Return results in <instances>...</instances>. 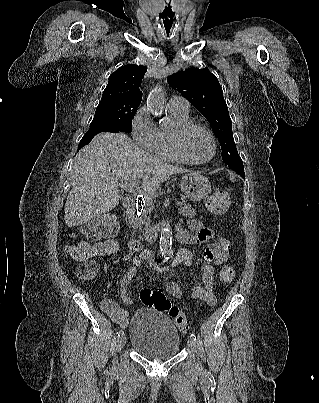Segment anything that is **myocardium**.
<instances>
[{"label": "myocardium", "instance_id": "obj_1", "mask_svg": "<svg viewBox=\"0 0 319 403\" xmlns=\"http://www.w3.org/2000/svg\"><path fill=\"white\" fill-rule=\"evenodd\" d=\"M201 129L203 130L209 137L211 144H212V154L209 158L198 161L192 159L186 152L185 150V145H184V139L185 136L187 135L188 132H190L192 129ZM172 142H173V147L176 152V154L179 156V158L189 164H194V165H203L211 162L217 153V143L214 134L212 131L204 124L189 120L187 122L181 123L177 125L173 131H172Z\"/></svg>", "mask_w": 319, "mask_h": 403}]
</instances>
